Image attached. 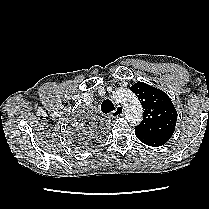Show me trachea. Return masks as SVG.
<instances>
[{
  "mask_svg": "<svg viewBox=\"0 0 209 209\" xmlns=\"http://www.w3.org/2000/svg\"><path fill=\"white\" fill-rule=\"evenodd\" d=\"M101 110L105 114L110 113L115 110L114 104L109 99H106L101 104Z\"/></svg>",
  "mask_w": 209,
  "mask_h": 209,
  "instance_id": "trachea-1",
  "label": "trachea"
}]
</instances>
